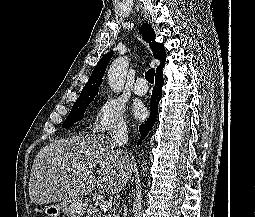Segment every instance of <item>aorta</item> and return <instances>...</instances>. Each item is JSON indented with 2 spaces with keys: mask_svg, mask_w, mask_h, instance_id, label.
<instances>
[{
  "mask_svg": "<svg viewBox=\"0 0 255 217\" xmlns=\"http://www.w3.org/2000/svg\"><path fill=\"white\" fill-rule=\"evenodd\" d=\"M127 67V58L119 57L112 62L107 78L108 84L113 91L120 92L122 90L126 79ZM146 164V162L143 163V165ZM147 169V166L143 167L144 172H147Z\"/></svg>",
  "mask_w": 255,
  "mask_h": 217,
  "instance_id": "762f6f07",
  "label": "aorta"
}]
</instances>
